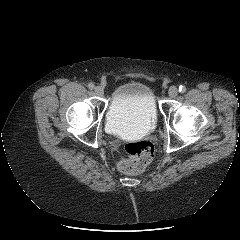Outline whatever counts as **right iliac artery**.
Segmentation results:
<instances>
[{
  "label": "right iliac artery",
  "mask_w": 240,
  "mask_h": 240,
  "mask_svg": "<svg viewBox=\"0 0 240 240\" xmlns=\"http://www.w3.org/2000/svg\"><path fill=\"white\" fill-rule=\"evenodd\" d=\"M88 88L91 89V90L94 89V84L93 83H89L88 84Z\"/></svg>",
  "instance_id": "obj_1"
}]
</instances>
